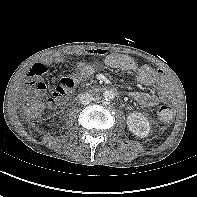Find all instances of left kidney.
I'll return each mask as SVG.
<instances>
[{"label":"left kidney","instance_id":"left-kidney-1","mask_svg":"<svg viewBox=\"0 0 197 197\" xmlns=\"http://www.w3.org/2000/svg\"><path fill=\"white\" fill-rule=\"evenodd\" d=\"M129 130L137 137H147L150 132V123L147 118L139 112H133L127 117Z\"/></svg>","mask_w":197,"mask_h":197}]
</instances>
